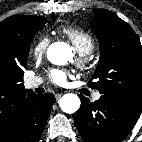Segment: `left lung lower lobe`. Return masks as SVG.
Wrapping results in <instances>:
<instances>
[{"label": "left lung lower lobe", "mask_w": 142, "mask_h": 142, "mask_svg": "<svg viewBox=\"0 0 142 142\" xmlns=\"http://www.w3.org/2000/svg\"><path fill=\"white\" fill-rule=\"evenodd\" d=\"M75 124L85 142H121L135 126L141 111L117 106L103 98L91 103L79 95Z\"/></svg>", "instance_id": "1"}]
</instances>
